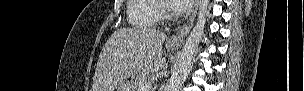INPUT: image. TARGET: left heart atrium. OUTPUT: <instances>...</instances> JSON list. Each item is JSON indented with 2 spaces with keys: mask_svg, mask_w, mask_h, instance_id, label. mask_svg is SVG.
I'll use <instances>...</instances> for the list:
<instances>
[{
  "mask_svg": "<svg viewBox=\"0 0 304 91\" xmlns=\"http://www.w3.org/2000/svg\"><path fill=\"white\" fill-rule=\"evenodd\" d=\"M171 9L176 14H183L191 7V0H171Z\"/></svg>",
  "mask_w": 304,
  "mask_h": 91,
  "instance_id": "1",
  "label": "left heart atrium"
}]
</instances>
